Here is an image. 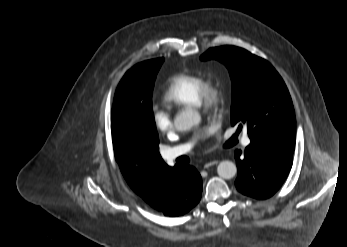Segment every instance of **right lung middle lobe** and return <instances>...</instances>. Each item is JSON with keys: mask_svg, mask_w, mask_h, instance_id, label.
<instances>
[{"mask_svg": "<svg viewBox=\"0 0 347 247\" xmlns=\"http://www.w3.org/2000/svg\"><path fill=\"white\" fill-rule=\"evenodd\" d=\"M163 58L132 67L120 81L112 108V135L124 143L158 152L159 136L152 110V92Z\"/></svg>", "mask_w": 347, "mask_h": 247, "instance_id": "1", "label": "right lung middle lobe"}]
</instances>
